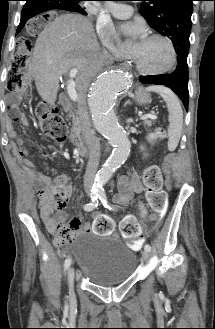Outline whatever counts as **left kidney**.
Returning a JSON list of instances; mask_svg holds the SVG:
<instances>
[{"instance_id":"left-kidney-1","label":"left kidney","mask_w":215,"mask_h":329,"mask_svg":"<svg viewBox=\"0 0 215 329\" xmlns=\"http://www.w3.org/2000/svg\"><path fill=\"white\" fill-rule=\"evenodd\" d=\"M144 148H145L144 146H141V147H140L141 150H144Z\"/></svg>"}]
</instances>
